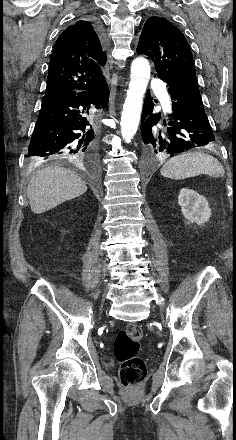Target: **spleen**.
Masks as SVG:
<instances>
[{
  "label": "spleen",
  "mask_w": 236,
  "mask_h": 440,
  "mask_svg": "<svg viewBox=\"0 0 236 440\" xmlns=\"http://www.w3.org/2000/svg\"><path fill=\"white\" fill-rule=\"evenodd\" d=\"M160 173L166 178L182 180L199 174L218 178L222 177L225 171L215 157L203 152H189L168 160Z\"/></svg>",
  "instance_id": "3e777b00"
}]
</instances>
